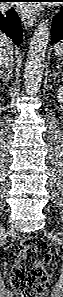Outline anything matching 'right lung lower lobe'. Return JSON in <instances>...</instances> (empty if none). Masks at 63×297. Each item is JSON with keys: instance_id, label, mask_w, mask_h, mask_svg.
Listing matches in <instances>:
<instances>
[{"instance_id": "98d812e1", "label": "right lung lower lobe", "mask_w": 63, "mask_h": 297, "mask_svg": "<svg viewBox=\"0 0 63 297\" xmlns=\"http://www.w3.org/2000/svg\"><path fill=\"white\" fill-rule=\"evenodd\" d=\"M0 30L9 36L19 46L22 40L20 19L14 9L0 12Z\"/></svg>"}]
</instances>
